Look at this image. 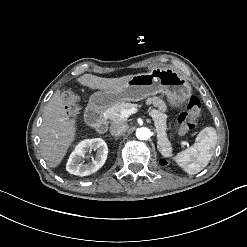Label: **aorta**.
Listing matches in <instances>:
<instances>
[{
    "instance_id": "aorta-1",
    "label": "aorta",
    "mask_w": 247,
    "mask_h": 247,
    "mask_svg": "<svg viewBox=\"0 0 247 247\" xmlns=\"http://www.w3.org/2000/svg\"><path fill=\"white\" fill-rule=\"evenodd\" d=\"M151 130L146 127L138 128L136 131V137L140 140H146L150 138Z\"/></svg>"
}]
</instances>
